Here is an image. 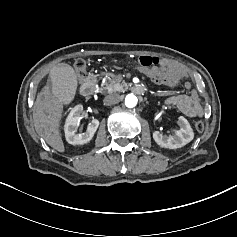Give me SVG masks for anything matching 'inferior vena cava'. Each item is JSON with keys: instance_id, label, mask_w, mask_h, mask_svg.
<instances>
[{"instance_id": "1", "label": "inferior vena cava", "mask_w": 237, "mask_h": 237, "mask_svg": "<svg viewBox=\"0 0 237 237\" xmlns=\"http://www.w3.org/2000/svg\"><path fill=\"white\" fill-rule=\"evenodd\" d=\"M119 100H120L119 94H110V95L105 96L103 102L105 105H112V104L118 103Z\"/></svg>"}]
</instances>
